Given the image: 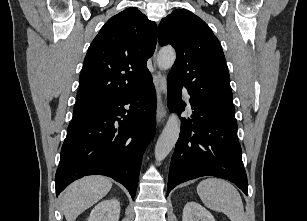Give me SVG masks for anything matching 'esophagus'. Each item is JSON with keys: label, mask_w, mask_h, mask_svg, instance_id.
<instances>
[{"label": "esophagus", "mask_w": 307, "mask_h": 221, "mask_svg": "<svg viewBox=\"0 0 307 221\" xmlns=\"http://www.w3.org/2000/svg\"><path fill=\"white\" fill-rule=\"evenodd\" d=\"M153 62L155 67V72L153 74V82L157 93V109L156 117L157 122L161 123L166 116V106H165V94H166V79L162 71L157 67V47L153 55Z\"/></svg>", "instance_id": "34e87169"}]
</instances>
